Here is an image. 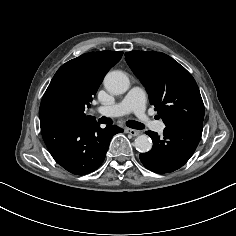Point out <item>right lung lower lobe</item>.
<instances>
[{
	"label": "right lung lower lobe",
	"mask_w": 236,
	"mask_h": 236,
	"mask_svg": "<svg viewBox=\"0 0 236 236\" xmlns=\"http://www.w3.org/2000/svg\"><path fill=\"white\" fill-rule=\"evenodd\" d=\"M40 127L54 160L76 175L96 170L105 159L112 136L123 132L113 125L101 129L96 120L77 123L58 115L42 118Z\"/></svg>",
	"instance_id": "right-lung-lower-lobe-1"
}]
</instances>
